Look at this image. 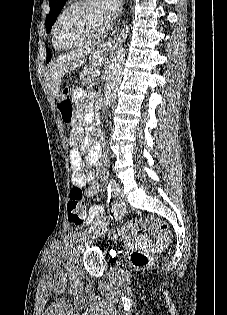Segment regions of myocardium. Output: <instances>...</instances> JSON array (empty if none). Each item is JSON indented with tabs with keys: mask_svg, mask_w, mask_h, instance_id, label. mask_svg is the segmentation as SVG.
Instances as JSON below:
<instances>
[{
	"mask_svg": "<svg viewBox=\"0 0 227 315\" xmlns=\"http://www.w3.org/2000/svg\"><path fill=\"white\" fill-rule=\"evenodd\" d=\"M91 0H74L73 3H71L68 7H66L61 14L59 15V17L57 18L55 24H54V28H53V32H52V42L53 45L56 49L58 50H70V49H74L77 47H80L86 43L92 42V41H96L98 39H100L104 33L106 32V30L108 29L109 25L105 26L100 32H98L97 34L87 38L85 41L77 43V44H73V45H68V46H62L58 43V29H59V25L61 23V21L64 19V17L71 12L74 8L85 4L87 2H90Z\"/></svg>",
	"mask_w": 227,
	"mask_h": 315,
	"instance_id": "obj_1",
	"label": "myocardium"
}]
</instances>
